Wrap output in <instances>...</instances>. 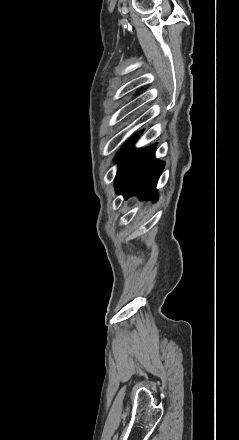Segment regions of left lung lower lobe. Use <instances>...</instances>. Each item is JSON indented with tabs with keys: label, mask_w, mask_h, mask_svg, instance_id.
<instances>
[{
	"label": "left lung lower lobe",
	"mask_w": 239,
	"mask_h": 440,
	"mask_svg": "<svg viewBox=\"0 0 239 440\" xmlns=\"http://www.w3.org/2000/svg\"><path fill=\"white\" fill-rule=\"evenodd\" d=\"M140 134L138 132L132 136L117 153L121 159L114 185L116 192L125 199L132 195H138L141 199L156 198V184L164 169L165 163L155 159V146L140 151L131 150Z\"/></svg>",
	"instance_id": "obj_1"
}]
</instances>
